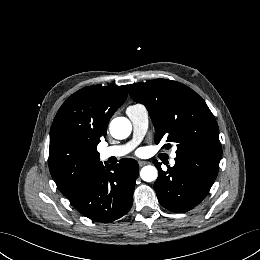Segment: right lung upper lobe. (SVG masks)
<instances>
[{"instance_id": "right-lung-upper-lobe-1", "label": "right lung upper lobe", "mask_w": 260, "mask_h": 260, "mask_svg": "<svg viewBox=\"0 0 260 260\" xmlns=\"http://www.w3.org/2000/svg\"><path fill=\"white\" fill-rule=\"evenodd\" d=\"M127 94V85L84 87L58 110L50 132L49 169L69 201L102 166L97 145Z\"/></svg>"}]
</instances>
